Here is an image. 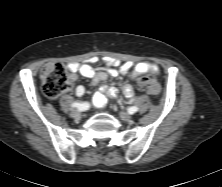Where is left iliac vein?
Masks as SVG:
<instances>
[{
    "mask_svg": "<svg viewBox=\"0 0 222 187\" xmlns=\"http://www.w3.org/2000/svg\"><path fill=\"white\" fill-rule=\"evenodd\" d=\"M119 116L120 118L123 120V121H131L132 120V116L130 114H128L127 112H124V111H121L119 113Z\"/></svg>",
    "mask_w": 222,
    "mask_h": 187,
    "instance_id": "obj_1",
    "label": "left iliac vein"
}]
</instances>
